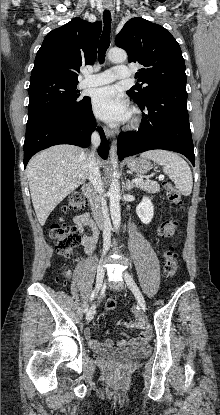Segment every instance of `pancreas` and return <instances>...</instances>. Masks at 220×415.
Wrapping results in <instances>:
<instances>
[{"label":"pancreas","mask_w":220,"mask_h":415,"mask_svg":"<svg viewBox=\"0 0 220 415\" xmlns=\"http://www.w3.org/2000/svg\"><path fill=\"white\" fill-rule=\"evenodd\" d=\"M136 187L143 189L148 193H157L160 190V185L156 181L144 180L136 183Z\"/></svg>","instance_id":"obj_1"}]
</instances>
